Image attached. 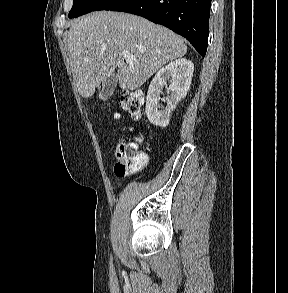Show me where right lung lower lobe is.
<instances>
[{
  "instance_id": "right-lung-lower-lobe-1",
  "label": "right lung lower lobe",
  "mask_w": 288,
  "mask_h": 293,
  "mask_svg": "<svg viewBox=\"0 0 288 293\" xmlns=\"http://www.w3.org/2000/svg\"><path fill=\"white\" fill-rule=\"evenodd\" d=\"M211 0H118L106 10L123 11L164 25L205 56Z\"/></svg>"
}]
</instances>
